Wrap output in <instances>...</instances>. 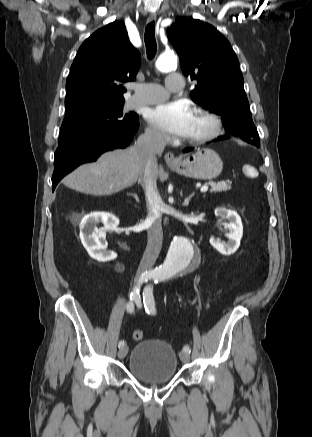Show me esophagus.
<instances>
[{
	"label": "esophagus",
	"instance_id": "1",
	"mask_svg": "<svg viewBox=\"0 0 312 437\" xmlns=\"http://www.w3.org/2000/svg\"><path fill=\"white\" fill-rule=\"evenodd\" d=\"M155 20H156V14L152 13L147 18V23H151V22H153ZM164 159H165V162L167 164H176L178 162V160L176 159L175 155L172 152H167L164 155Z\"/></svg>",
	"mask_w": 312,
	"mask_h": 437
}]
</instances>
